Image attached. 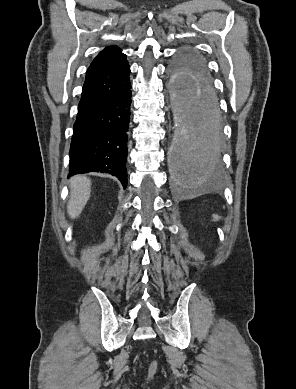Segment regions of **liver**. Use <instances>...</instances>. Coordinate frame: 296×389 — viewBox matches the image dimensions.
<instances>
[{
    "instance_id": "liver-1",
    "label": "liver",
    "mask_w": 296,
    "mask_h": 389,
    "mask_svg": "<svg viewBox=\"0 0 296 389\" xmlns=\"http://www.w3.org/2000/svg\"><path fill=\"white\" fill-rule=\"evenodd\" d=\"M91 193V181L85 176H75L70 182V199L67 212L73 219L77 218L87 204Z\"/></svg>"
}]
</instances>
